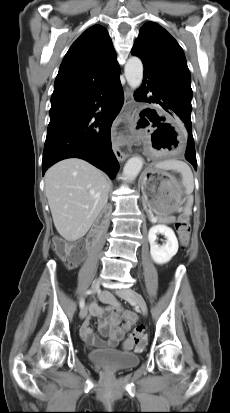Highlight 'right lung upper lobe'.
<instances>
[{"instance_id":"right-lung-upper-lobe-1","label":"right lung upper lobe","mask_w":230,"mask_h":413,"mask_svg":"<svg viewBox=\"0 0 230 413\" xmlns=\"http://www.w3.org/2000/svg\"><path fill=\"white\" fill-rule=\"evenodd\" d=\"M119 73L116 52L107 30L94 25L66 53L54 83L51 102L80 97Z\"/></svg>"}]
</instances>
